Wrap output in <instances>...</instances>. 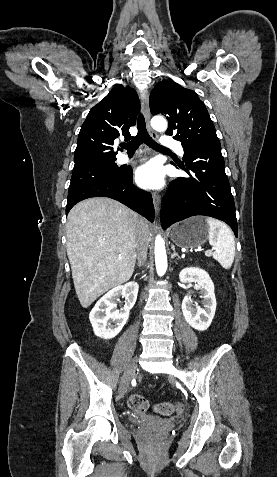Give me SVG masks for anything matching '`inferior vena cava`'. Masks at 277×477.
Wrapping results in <instances>:
<instances>
[{
	"instance_id": "obj_1",
	"label": "inferior vena cava",
	"mask_w": 277,
	"mask_h": 477,
	"mask_svg": "<svg viewBox=\"0 0 277 477\" xmlns=\"http://www.w3.org/2000/svg\"><path fill=\"white\" fill-rule=\"evenodd\" d=\"M137 259L138 265L141 266L146 262L147 259V249H148V231L145 226L144 220L140 219L138 222V231H137Z\"/></svg>"
}]
</instances>
